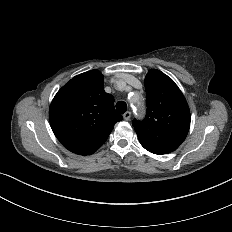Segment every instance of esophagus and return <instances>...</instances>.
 <instances>
[{
	"label": "esophagus",
	"mask_w": 232,
	"mask_h": 232,
	"mask_svg": "<svg viewBox=\"0 0 232 232\" xmlns=\"http://www.w3.org/2000/svg\"><path fill=\"white\" fill-rule=\"evenodd\" d=\"M130 116H131V112L130 111H127L123 114V118L124 120L128 121L130 119Z\"/></svg>",
	"instance_id": "obj_1"
}]
</instances>
